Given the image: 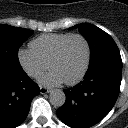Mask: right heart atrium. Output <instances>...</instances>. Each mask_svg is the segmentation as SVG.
Instances as JSON below:
<instances>
[{
	"label": "right heart atrium",
	"mask_w": 128,
	"mask_h": 128,
	"mask_svg": "<svg viewBox=\"0 0 128 128\" xmlns=\"http://www.w3.org/2000/svg\"><path fill=\"white\" fill-rule=\"evenodd\" d=\"M17 58L21 68L32 78L40 76L48 67V64L44 62L31 48L19 49Z\"/></svg>",
	"instance_id": "obj_1"
}]
</instances>
